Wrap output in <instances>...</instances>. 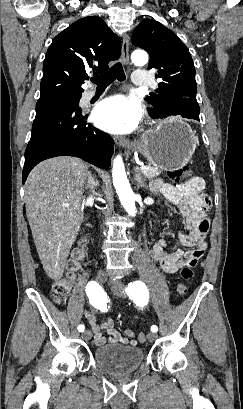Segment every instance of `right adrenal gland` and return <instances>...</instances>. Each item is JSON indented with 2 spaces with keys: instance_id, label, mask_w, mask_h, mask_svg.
I'll use <instances>...</instances> for the list:
<instances>
[{
  "instance_id": "1",
  "label": "right adrenal gland",
  "mask_w": 243,
  "mask_h": 409,
  "mask_svg": "<svg viewBox=\"0 0 243 409\" xmlns=\"http://www.w3.org/2000/svg\"><path fill=\"white\" fill-rule=\"evenodd\" d=\"M98 186H99L98 180L95 178L94 175L90 173L85 189L88 190L89 192H95Z\"/></svg>"
}]
</instances>
